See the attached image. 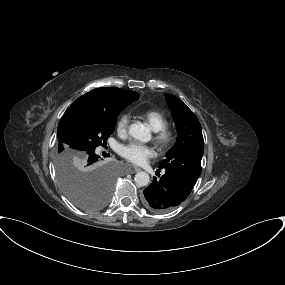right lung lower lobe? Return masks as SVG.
I'll return each instance as SVG.
<instances>
[{
    "label": "right lung lower lobe",
    "mask_w": 285,
    "mask_h": 285,
    "mask_svg": "<svg viewBox=\"0 0 285 285\" xmlns=\"http://www.w3.org/2000/svg\"><path fill=\"white\" fill-rule=\"evenodd\" d=\"M99 162V155L95 154V155H91L89 156V162H88V166H94L97 165V163Z\"/></svg>",
    "instance_id": "1"
}]
</instances>
